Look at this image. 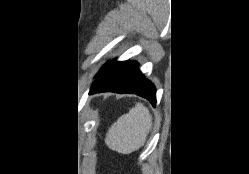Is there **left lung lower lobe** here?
Instances as JSON below:
<instances>
[{
  "mask_svg": "<svg viewBox=\"0 0 249 174\" xmlns=\"http://www.w3.org/2000/svg\"><path fill=\"white\" fill-rule=\"evenodd\" d=\"M90 88V94L115 92L137 94L155 106L156 89L138 69L136 61L117 62L115 59L106 64Z\"/></svg>",
  "mask_w": 249,
  "mask_h": 174,
  "instance_id": "1",
  "label": "left lung lower lobe"
}]
</instances>
